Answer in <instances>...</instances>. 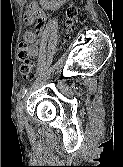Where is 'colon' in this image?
<instances>
[{
  "instance_id": "colon-1",
  "label": "colon",
  "mask_w": 123,
  "mask_h": 167,
  "mask_svg": "<svg viewBox=\"0 0 123 167\" xmlns=\"http://www.w3.org/2000/svg\"><path fill=\"white\" fill-rule=\"evenodd\" d=\"M78 13V9L75 6H69L66 10L65 24L67 27H71ZM18 58L22 64L20 67L21 75L24 78H30L33 76V64L29 60V47L25 43H21L18 47Z\"/></svg>"
}]
</instances>
